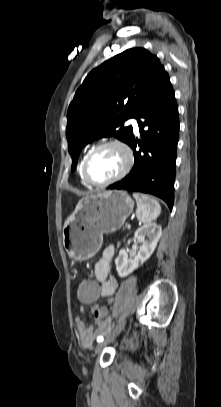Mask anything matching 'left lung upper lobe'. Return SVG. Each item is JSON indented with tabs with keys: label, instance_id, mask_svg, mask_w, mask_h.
I'll list each match as a JSON object with an SVG mask.
<instances>
[{
	"label": "left lung upper lobe",
	"instance_id": "5c2ea615",
	"mask_svg": "<svg viewBox=\"0 0 221 407\" xmlns=\"http://www.w3.org/2000/svg\"><path fill=\"white\" fill-rule=\"evenodd\" d=\"M167 72L144 48L128 49L93 69L78 88L67 112L66 137L74 171L82 148L100 137L129 144L132 126Z\"/></svg>",
	"mask_w": 221,
	"mask_h": 407
}]
</instances>
